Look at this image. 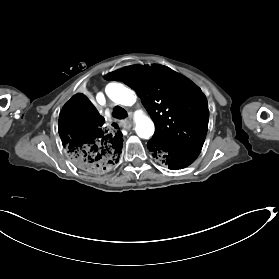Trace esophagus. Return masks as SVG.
Instances as JSON below:
<instances>
[{"mask_svg": "<svg viewBox=\"0 0 279 279\" xmlns=\"http://www.w3.org/2000/svg\"><path fill=\"white\" fill-rule=\"evenodd\" d=\"M132 124H133L132 121L129 119L122 120V126L124 129H127V130L130 129L132 127Z\"/></svg>", "mask_w": 279, "mask_h": 279, "instance_id": "34e87169", "label": "esophagus"}]
</instances>
